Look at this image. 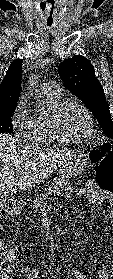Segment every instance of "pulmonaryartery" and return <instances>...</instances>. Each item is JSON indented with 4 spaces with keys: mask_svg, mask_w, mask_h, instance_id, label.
I'll return each mask as SVG.
<instances>
[{
    "mask_svg": "<svg viewBox=\"0 0 113 279\" xmlns=\"http://www.w3.org/2000/svg\"><path fill=\"white\" fill-rule=\"evenodd\" d=\"M42 89L44 92L51 93L56 96L61 95L60 85L54 81H47V82L43 83Z\"/></svg>",
    "mask_w": 113,
    "mask_h": 279,
    "instance_id": "e3ab8cb5",
    "label": "pulmonary artery"
}]
</instances>
